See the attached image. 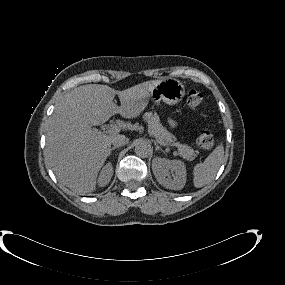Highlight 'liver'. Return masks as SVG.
Wrapping results in <instances>:
<instances>
[{"mask_svg": "<svg viewBox=\"0 0 285 285\" xmlns=\"http://www.w3.org/2000/svg\"><path fill=\"white\" fill-rule=\"evenodd\" d=\"M160 81H146L123 91L107 85H82L59 100L48 122L44 153L61 184L77 193L95 190L98 173L118 135L91 127L118 113L124 118H136ZM116 94L120 107L113 102Z\"/></svg>", "mask_w": 285, "mask_h": 285, "instance_id": "liver-1", "label": "liver"}]
</instances>
